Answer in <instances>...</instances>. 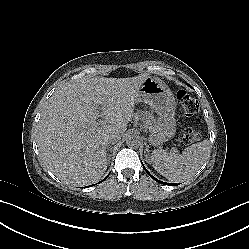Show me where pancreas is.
<instances>
[{
  "mask_svg": "<svg viewBox=\"0 0 249 249\" xmlns=\"http://www.w3.org/2000/svg\"><path fill=\"white\" fill-rule=\"evenodd\" d=\"M136 117H139L140 120L143 121L144 123V126L145 127H150V128H153L154 129V126H155V121L154 119L152 118V114L149 113V112H144V111H138L136 114H135Z\"/></svg>",
  "mask_w": 249,
  "mask_h": 249,
  "instance_id": "obj_1",
  "label": "pancreas"
}]
</instances>
